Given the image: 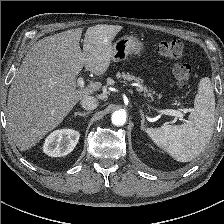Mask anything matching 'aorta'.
Instances as JSON below:
<instances>
[{
  "label": "aorta",
  "mask_w": 224,
  "mask_h": 224,
  "mask_svg": "<svg viewBox=\"0 0 224 224\" xmlns=\"http://www.w3.org/2000/svg\"><path fill=\"white\" fill-rule=\"evenodd\" d=\"M126 118H127L126 112L123 110H118L113 112L111 121L115 126H122L125 124Z\"/></svg>",
  "instance_id": "1"
}]
</instances>
